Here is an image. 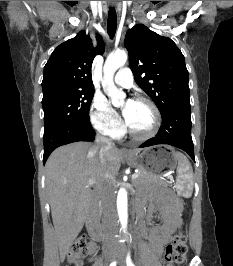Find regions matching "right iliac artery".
I'll use <instances>...</instances> for the list:
<instances>
[{
  "instance_id": "82829eb1",
  "label": "right iliac artery",
  "mask_w": 233,
  "mask_h": 266,
  "mask_svg": "<svg viewBox=\"0 0 233 266\" xmlns=\"http://www.w3.org/2000/svg\"><path fill=\"white\" fill-rule=\"evenodd\" d=\"M117 262L116 261H113L110 266H116Z\"/></svg>"
}]
</instances>
